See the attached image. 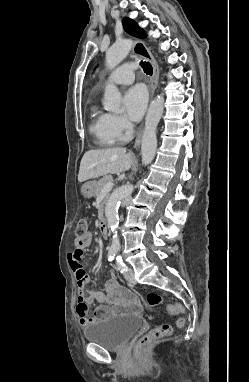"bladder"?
Listing matches in <instances>:
<instances>
[{"mask_svg": "<svg viewBox=\"0 0 249 382\" xmlns=\"http://www.w3.org/2000/svg\"><path fill=\"white\" fill-rule=\"evenodd\" d=\"M142 327V318L125 314L94 322L83 330V335L86 341L104 349L121 350Z\"/></svg>", "mask_w": 249, "mask_h": 382, "instance_id": "31cf9c89", "label": "bladder"}]
</instances>
